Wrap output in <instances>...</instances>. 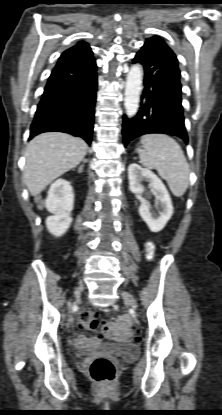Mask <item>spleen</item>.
Instances as JSON below:
<instances>
[{
  "label": "spleen",
  "instance_id": "spleen-1",
  "mask_svg": "<svg viewBox=\"0 0 222 415\" xmlns=\"http://www.w3.org/2000/svg\"><path fill=\"white\" fill-rule=\"evenodd\" d=\"M140 162L156 169L176 197L184 195L189 184L190 169L180 145L164 134H147L141 138Z\"/></svg>",
  "mask_w": 222,
  "mask_h": 415
}]
</instances>
